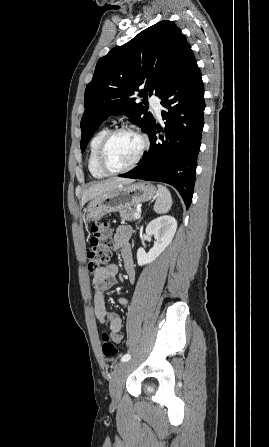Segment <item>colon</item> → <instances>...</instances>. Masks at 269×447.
<instances>
[{"label":"colon","mask_w":269,"mask_h":447,"mask_svg":"<svg viewBox=\"0 0 269 447\" xmlns=\"http://www.w3.org/2000/svg\"><path fill=\"white\" fill-rule=\"evenodd\" d=\"M92 248L86 254L88 272L93 274L107 265L110 259L112 232L107 222L93 221L90 226ZM101 349L106 358L119 355L117 346L110 341L108 332L102 333Z\"/></svg>","instance_id":"obj_1"}]
</instances>
